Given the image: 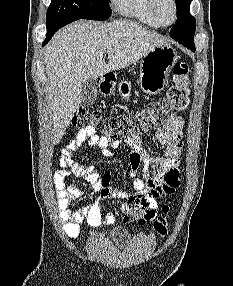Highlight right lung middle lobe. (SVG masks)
<instances>
[{
	"instance_id": "right-lung-middle-lobe-1",
	"label": "right lung middle lobe",
	"mask_w": 233,
	"mask_h": 286,
	"mask_svg": "<svg viewBox=\"0 0 233 286\" xmlns=\"http://www.w3.org/2000/svg\"><path fill=\"white\" fill-rule=\"evenodd\" d=\"M110 15L108 0H52L47 9L46 24L65 18L105 20Z\"/></svg>"
}]
</instances>
